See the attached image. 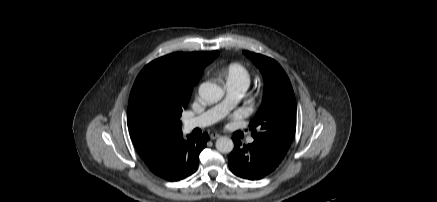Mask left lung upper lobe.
Returning <instances> with one entry per match:
<instances>
[{"mask_svg": "<svg viewBox=\"0 0 437 202\" xmlns=\"http://www.w3.org/2000/svg\"><path fill=\"white\" fill-rule=\"evenodd\" d=\"M261 71L264 95L250 122L254 142L282 160L295 135L296 101L292 85L282 67L272 58L243 52Z\"/></svg>", "mask_w": 437, "mask_h": 202, "instance_id": "obj_1", "label": "left lung upper lobe"}]
</instances>
